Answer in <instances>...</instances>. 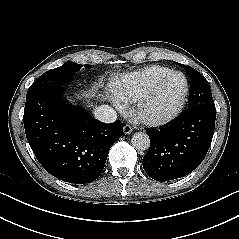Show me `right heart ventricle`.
<instances>
[{"mask_svg": "<svg viewBox=\"0 0 239 239\" xmlns=\"http://www.w3.org/2000/svg\"><path fill=\"white\" fill-rule=\"evenodd\" d=\"M170 71L163 66L151 65L115 78L112 82L115 100L121 105L135 103L156 79Z\"/></svg>", "mask_w": 239, "mask_h": 239, "instance_id": "1", "label": "right heart ventricle"}]
</instances>
